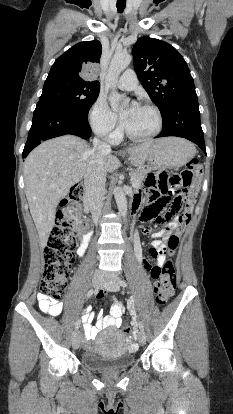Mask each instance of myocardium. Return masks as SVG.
<instances>
[{"label": "myocardium", "mask_w": 233, "mask_h": 414, "mask_svg": "<svg viewBox=\"0 0 233 414\" xmlns=\"http://www.w3.org/2000/svg\"><path fill=\"white\" fill-rule=\"evenodd\" d=\"M140 107L152 110L157 116L158 124H157V128L155 129V131L148 135H135L126 128L123 121L121 120L120 128H121L122 133L133 141H147V140L153 139L156 136H158L163 129V124H164L163 115L160 109L156 105L151 104V103H143L140 105Z\"/></svg>", "instance_id": "f54148a6"}]
</instances>
